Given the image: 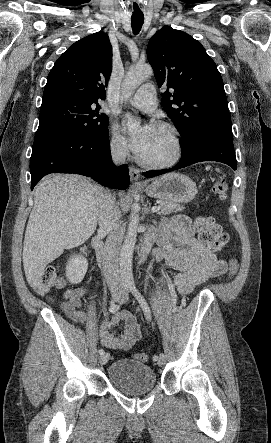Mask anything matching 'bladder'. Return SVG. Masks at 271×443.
I'll return each instance as SVG.
<instances>
[{"instance_id": "1", "label": "bladder", "mask_w": 271, "mask_h": 443, "mask_svg": "<svg viewBox=\"0 0 271 443\" xmlns=\"http://www.w3.org/2000/svg\"><path fill=\"white\" fill-rule=\"evenodd\" d=\"M108 378L117 389L129 395L144 394L156 386L153 368L129 358L112 362L108 368Z\"/></svg>"}]
</instances>
